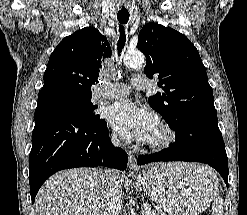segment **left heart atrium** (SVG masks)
<instances>
[{
	"instance_id": "left-heart-atrium-1",
	"label": "left heart atrium",
	"mask_w": 247,
	"mask_h": 215,
	"mask_svg": "<svg viewBox=\"0 0 247 215\" xmlns=\"http://www.w3.org/2000/svg\"><path fill=\"white\" fill-rule=\"evenodd\" d=\"M106 119L121 137L149 141L158 127L157 117L147 108L123 100L106 110Z\"/></svg>"
}]
</instances>
